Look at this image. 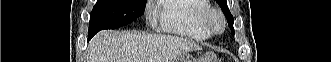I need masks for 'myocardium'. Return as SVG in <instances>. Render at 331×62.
<instances>
[{"mask_svg":"<svg viewBox=\"0 0 331 62\" xmlns=\"http://www.w3.org/2000/svg\"><path fill=\"white\" fill-rule=\"evenodd\" d=\"M202 22L212 34H221L226 26L223 13L217 8H208L202 14Z\"/></svg>","mask_w":331,"mask_h":62,"instance_id":"1","label":"myocardium"}]
</instances>
